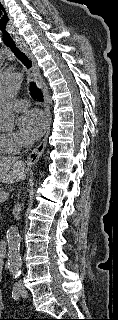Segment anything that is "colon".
Segmentation results:
<instances>
[{"instance_id":"5ec220e1","label":"colon","mask_w":118,"mask_h":320,"mask_svg":"<svg viewBox=\"0 0 118 320\" xmlns=\"http://www.w3.org/2000/svg\"><path fill=\"white\" fill-rule=\"evenodd\" d=\"M0 320H2V319H0ZM29 320H37V319H29Z\"/></svg>"}]
</instances>
